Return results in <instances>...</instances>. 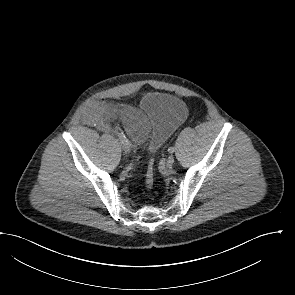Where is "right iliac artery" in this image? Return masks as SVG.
<instances>
[{"mask_svg":"<svg viewBox=\"0 0 295 295\" xmlns=\"http://www.w3.org/2000/svg\"><path fill=\"white\" fill-rule=\"evenodd\" d=\"M118 137H119V139L122 141V143H124V142L127 141V140H126V137H125V135H124L123 133H119Z\"/></svg>","mask_w":295,"mask_h":295,"instance_id":"right-iliac-artery-1","label":"right iliac artery"}]
</instances>
